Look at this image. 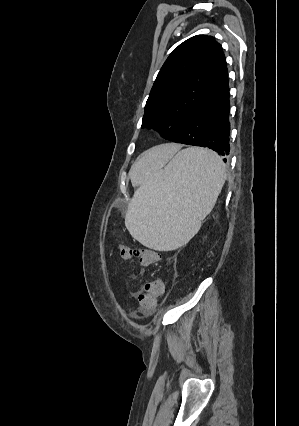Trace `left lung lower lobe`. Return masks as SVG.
Segmentation results:
<instances>
[{
    "instance_id": "obj_1",
    "label": "left lung lower lobe",
    "mask_w": 299,
    "mask_h": 426,
    "mask_svg": "<svg viewBox=\"0 0 299 426\" xmlns=\"http://www.w3.org/2000/svg\"><path fill=\"white\" fill-rule=\"evenodd\" d=\"M228 83L226 77L218 89L193 111L172 142L208 147L223 157L229 155Z\"/></svg>"
}]
</instances>
